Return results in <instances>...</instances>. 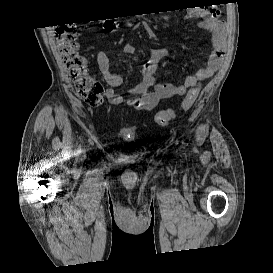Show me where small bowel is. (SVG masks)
Instances as JSON below:
<instances>
[{
	"label": "small bowel",
	"instance_id": "1",
	"mask_svg": "<svg viewBox=\"0 0 273 273\" xmlns=\"http://www.w3.org/2000/svg\"><path fill=\"white\" fill-rule=\"evenodd\" d=\"M186 18H201L202 26L212 34V52L207 64L195 74L187 76L181 85L160 84L156 80L155 72L159 65H166L170 48L150 49L149 59L143 63L141 68L140 82L131 89L129 97H124L116 91V88L123 82L122 77L112 72L108 56L105 52L99 51L96 55V61L100 73L109 86L104 94L109 103L150 111L155 109L162 99L185 95L199 81L211 77L219 69L226 52V26L223 21L217 18V10H189ZM124 52L133 54L135 47L127 43L124 46Z\"/></svg>",
	"mask_w": 273,
	"mask_h": 273
}]
</instances>
